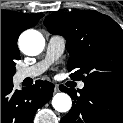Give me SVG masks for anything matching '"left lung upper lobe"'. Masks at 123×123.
<instances>
[{
    "mask_svg": "<svg viewBox=\"0 0 123 123\" xmlns=\"http://www.w3.org/2000/svg\"><path fill=\"white\" fill-rule=\"evenodd\" d=\"M44 24L66 39L70 77L84 83L123 85V30L110 17L92 10L59 12Z\"/></svg>",
    "mask_w": 123,
    "mask_h": 123,
    "instance_id": "left-lung-upper-lobe-1",
    "label": "left lung upper lobe"
}]
</instances>
